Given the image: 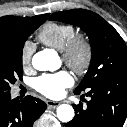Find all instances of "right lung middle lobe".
<instances>
[{"label":"right lung middle lobe","mask_w":127,"mask_h":127,"mask_svg":"<svg viewBox=\"0 0 127 127\" xmlns=\"http://www.w3.org/2000/svg\"><path fill=\"white\" fill-rule=\"evenodd\" d=\"M44 20L0 34V95L10 93V85L22 78V50L26 39Z\"/></svg>","instance_id":"1"}]
</instances>
